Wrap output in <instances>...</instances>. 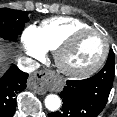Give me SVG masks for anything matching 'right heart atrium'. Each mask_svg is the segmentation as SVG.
<instances>
[{
	"instance_id": "d8ad5b80",
	"label": "right heart atrium",
	"mask_w": 117,
	"mask_h": 117,
	"mask_svg": "<svg viewBox=\"0 0 117 117\" xmlns=\"http://www.w3.org/2000/svg\"><path fill=\"white\" fill-rule=\"evenodd\" d=\"M22 43L25 53L33 59H42L46 50L41 45L38 38L37 28L34 26L27 27L22 35Z\"/></svg>"
}]
</instances>
